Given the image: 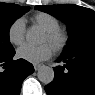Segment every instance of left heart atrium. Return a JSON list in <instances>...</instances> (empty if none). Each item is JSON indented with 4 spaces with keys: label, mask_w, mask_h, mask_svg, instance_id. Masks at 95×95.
<instances>
[{
    "label": "left heart atrium",
    "mask_w": 95,
    "mask_h": 95,
    "mask_svg": "<svg viewBox=\"0 0 95 95\" xmlns=\"http://www.w3.org/2000/svg\"><path fill=\"white\" fill-rule=\"evenodd\" d=\"M53 49L50 44L39 46L26 44L17 50V56L31 63H39L51 57Z\"/></svg>",
    "instance_id": "39dd6f15"
}]
</instances>
